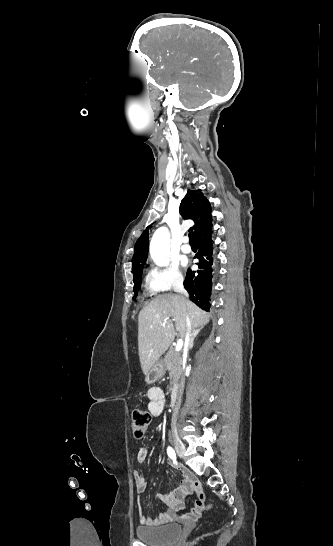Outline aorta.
<instances>
[{
  "label": "aorta",
  "mask_w": 333,
  "mask_h": 546,
  "mask_svg": "<svg viewBox=\"0 0 333 546\" xmlns=\"http://www.w3.org/2000/svg\"><path fill=\"white\" fill-rule=\"evenodd\" d=\"M169 239L170 233L166 227L157 229L152 237L149 252L151 258L159 266H166L169 263L167 257Z\"/></svg>",
  "instance_id": "762f6f07"
}]
</instances>
